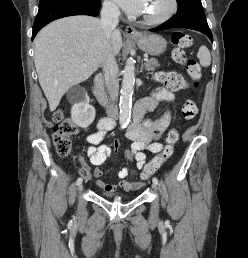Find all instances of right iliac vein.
<instances>
[{
  "instance_id": "obj_1",
  "label": "right iliac vein",
  "mask_w": 248,
  "mask_h": 258,
  "mask_svg": "<svg viewBox=\"0 0 248 258\" xmlns=\"http://www.w3.org/2000/svg\"><path fill=\"white\" fill-rule=\"evenodd\" d=\"M82 190H83V185H82V184H79V185H78V192L80 193Z\"/></svg>"
}]
</instances>
